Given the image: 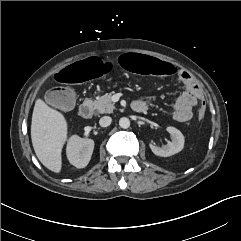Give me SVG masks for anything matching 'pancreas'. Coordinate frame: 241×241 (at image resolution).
Instances as JSON below:
<instances>
[{
  "label": "pancreas",
  "mask_w": 241,
  "mask_h": 241,
  "mask_svg": "<svg viewBox=\"0 0 241 241\" xmlns=\"http://www.w3.org/2000/svg\"><path fill=\"white\" fill-rule=\"evenodd\" d=\"M92 105L97 114L112 113L115 109V106L111 101V94H105L101 97H97L92 102Z\"/></svg>",
  "instance_id": "pancreas-1"
}]
</instances>
